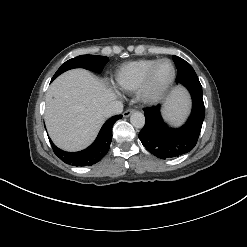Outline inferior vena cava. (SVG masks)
Listing matches in <instances>:
<instances>
[{
	"mask_svg": "<svg viewBox=\"0 0 247 247\" xmlns=\"http://www.w3.org/2000/svg\"><path fill=\"white\" fill-rule=\"evenodd\" d=\"M122 111H123L122 102L112 101L104 108L103 115L105 117H111V116L122 113Z\"/></svg>",
	"mask_w": 247,
	"mask_h": 247,
	"instance_id": "obj_1",
	"label": "inferior vena cava"
}]
</instances>
